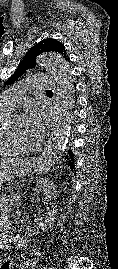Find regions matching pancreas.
I'll list each match as a JSON object with an SVG mask.
<instances>
[{"mask_svg": "<svg viewBox=\"0 0 118 269\" xmlns=\"http://www.w3.org/2000/svg\"><path fill=\"white\" fill-rule=\"evenodd\" d=\"M26 179H20L19 182H8L7 187L4 188L5 192H17L22 189L20 184H26Z\"/></svg>", "mask_w": 118, "mask_h": 269, "instance_id": "pancreas-1", "label": "pancreas"}]
</instances>
